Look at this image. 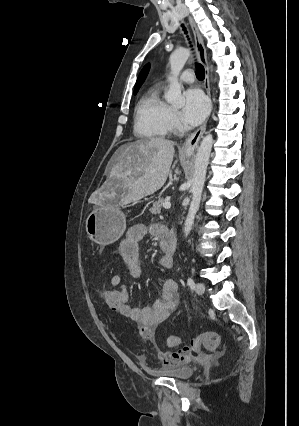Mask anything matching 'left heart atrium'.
<instances>
[{"instance_id":"1","label":"left heart atrium","mask_w":299,"mask_h":426,"mask_svg":"<svg viewBox=\"0 0 299 426\" xmlns=\"http://www.w3.org/2000/svg\"><path fill=\"white\" fill-rule=\"evenodd\" d=\"M208 108V101L199 89L191 88L184 93L182 117L187 123L191 125L201 123L207 115Z\"/></svg>"}]
</instances>
